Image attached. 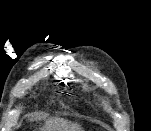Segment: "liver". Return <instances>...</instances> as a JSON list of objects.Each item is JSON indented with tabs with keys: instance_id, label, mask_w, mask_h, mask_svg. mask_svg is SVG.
Segmentation results:
<instances>
[{
	"instance_id": "6515ba94",
	"label": "liver",
	"mask_w": 151,
	"mask_h": 131,
	"mask_svg": "<svg viewBox=\"0 0 151 131\" xmlns=\"http://www.w3.org/2000/svg\"><path fill=\"white\" fill-rule=\"evenodd\" d=\"M40 131H82V128L77 123H72L64 119H55L48 121Z\"/></svg>"
}]
</instances>
